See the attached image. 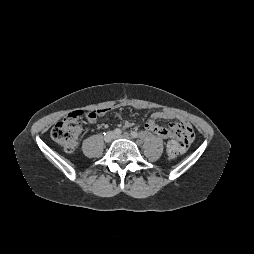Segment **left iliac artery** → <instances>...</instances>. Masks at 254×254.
<instances>
[{
	"instance_id": "44dca946",
	"label": "left iliac artery",
	"mask_w": 254,
	"mask_h": 254,
	"mask_svg": "<svg viewBox=\"0 0 254 254\" xmlns=\"http://www.w3.org/2000/svg\"><path fill=\"white\" fill-rule=\"evenodd\" d=\"M132 137L137 138L139 135L137 132L133 131L131 132Z\"/></svg>"
}]
</instances>
